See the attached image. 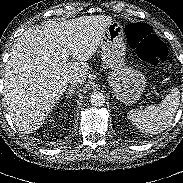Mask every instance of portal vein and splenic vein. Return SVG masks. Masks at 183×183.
I'll return each instance as SVG.
<instances>
[{
    "label": "portal vein and splenic vein",
    "mask_w": 183,
    "mask_h": 183,
    "mask_svg": "<svg viewBox=\"0 0 183 183\" xmlns=\"http://www.w3.org/2000/svg\"><path fill=\"white\" fill-rule=\"evenodd\" d=\"M68 57H69V53L66 50H64L61 54L62 60H67Z\"/></svg>",
    "instance_id": "18ae733b"
}]
</instances>
